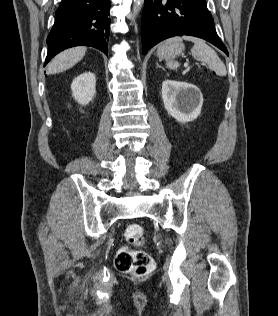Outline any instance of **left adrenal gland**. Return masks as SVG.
<instances>
[{"label": "left adrenal gland", "mask_w": 278, "mask_h": 316, "mask_svg": "<svg viewBox=\"0 0 278 316\" xmlns=\"http://www.w3.org/2000/svg\"><path fill=\"white\" fill-rule=\"evenodd\" d=\"M157 68H162L164 70V68L162 66H160L158 63L156 64Z\"/></svg>", "instance_id": "left-adrenal-gland-1"}]
</instances>
